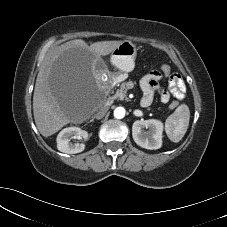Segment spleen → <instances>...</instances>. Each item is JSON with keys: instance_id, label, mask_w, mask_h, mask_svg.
I'll return each mask as SVG.
<instances>
[{"instance_id": "3e777b00", "label": "spleen", "mask_w": 227, "mask_h": 227, "mask_svg": "<svg viewBox=\"0 0 227 227\" xmlns=\"http://www.w3.org/2000/svg\"><path fill=\"white\" fill-rule=\"evenodd\" d=\"M190 120V110L182 104L171 114L165 122V130L168 138L173 142H179L185 135Z\"/></svg>"}]
</instances>
